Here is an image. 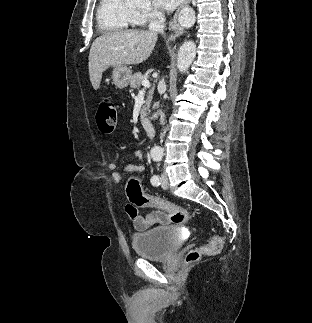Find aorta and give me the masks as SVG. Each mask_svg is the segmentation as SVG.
I'll return each instance as SVG.
<instances>
[{"mask_svg":"<svg viewBox=\"0 0 312 323\" xmlns=\"http://www.w3.org/2000/svg\"><path fill=\"white\" fill-rule=\"evenodd\" d=\"M196 56V44L194 42H184L177 56V68L179 72H187L190 64L194 62ZM156 118V114L154 116Z\"/></svg>","mask_w":312,"mask_h":323,"instance_id":"1","label":"aorta"}]
</instances>
